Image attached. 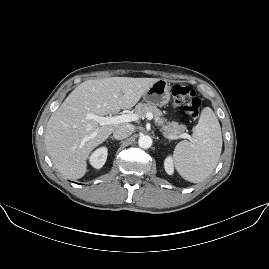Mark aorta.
Returning a JSON list of instances; mask_svg holds the SVG:
<instances>
[{
  "instance_id": "762f6f07",
  "label": "aorta",
  "mask_w": 269,
  "mask_h": 269,
  "mask_svg": "<svg viewBox=\"0 0 269 269\" xmlns=\"http://www.w3.org/2000/svg\"><path fill=\"white\" fill-rule=\"evenodd\" d=\"M139 146L143 149L150 148L152 145V139L148 135H143L139 137L138 140Z\"/></svg>"
}]
</instances>
